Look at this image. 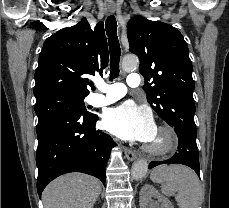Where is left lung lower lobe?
<instances>
[{"label": "left lung lower lobe", "instance_id": "0a47b994", "mask_svg": "<svg viewBox=\"0 0 229 208\" xmlns=\"http://www.w3.org/2000/svg\"><path fill=\"white\" fill-rule=\"evenodd\" d=\"M178 136V153L165 161H153L149 168L160 164L178 163L192 168L200 177L199 152L196 144V131L190 128L175 129Z\"/></svg>", "mask_w": 229, "mask_h": 208}]
</instances>
